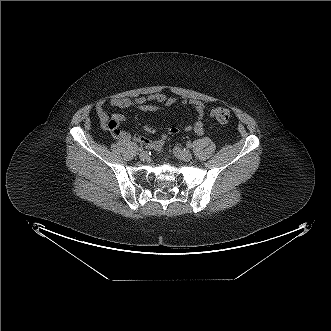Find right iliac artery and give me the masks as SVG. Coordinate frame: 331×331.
<instances>
[{"mask_svg":"<svg viewBox=\"0 0 331 331\" xmlns=\"http://www.w3.org/2000/svg\"><path fill=\"white\" fill-rule=\"evenodd\" d=\"M138 151H139V152H142V151H143V147H142V146L139 147V148H138Z\"/></svg>","mask_w":331,"mask_h":331,"instance_id":"right-iliac-artery-1","label":"right iliac artery"}]
</instances>
